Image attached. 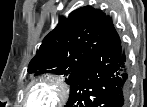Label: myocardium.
Returning a JSON list of instances; mask_svg holds the SVG:
<instances>
[{"mask_svg":"<svg viewBox=\"0 0 147 107\" xmlns=\"http://www.w3.org/2000/svg\"><path fill=\"white\" fill-rule=\"evenodd\" d=\"M39 86H47L53 90V99L45 107H57L64 104L69 96V86L58 75L45 74L38 78L33 79L25 89V100L24 103H29L30 93Z\"/></svg>","mask_w":147,"mask_h":107,"instance_id":"1","label":"myocardium"}]
</instances>
